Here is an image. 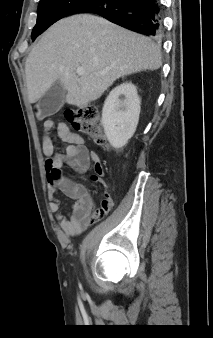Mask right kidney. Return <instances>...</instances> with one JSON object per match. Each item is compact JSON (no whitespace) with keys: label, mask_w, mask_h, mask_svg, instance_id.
Segmentation results:
<instances>
[{"label":"right kidney","mask_w":213,"mask_h":338,"mask_svg":"<svg viewBox=\"0 0 213 338\" xmlns=\"http://www.w3.org/2000/svg\"><path fill=\"white\" fill-rule=\"evenodd\" d=\"M124 98H120V97ZM140 98L132 83H123L113 89L105 100L102 124L109 143L123 147L133 136L139 121Z\"/></svg>","instance_id":"right-kidney-1"}]
</instances>
